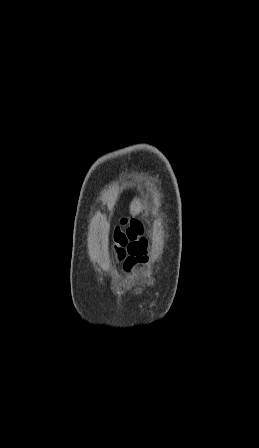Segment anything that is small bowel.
<instances>
[{"label":"small bowel","mask_w":259,"mask_h":448,"mask_svg":"<svg viewBox=\"0 0 259 448\" xmlns=\"http://www.w3.org/2000/svg\"><path fill=\"white\" fill-rule=\"evenodd\" d=\"M147 240L143 237V228L132 221L124 228L118 227L114 233L113 254L126 272L147 261Z\"/></svg>","instance_id":"1"}]
</instances>
